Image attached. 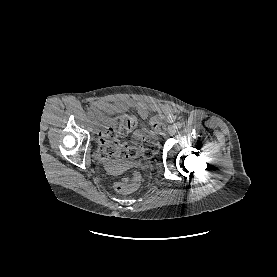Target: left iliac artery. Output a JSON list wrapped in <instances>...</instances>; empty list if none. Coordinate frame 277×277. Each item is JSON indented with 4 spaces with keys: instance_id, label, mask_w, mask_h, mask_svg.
Wrapping results in <instances>:
<instances>
[{
    "instance_id": "obj_1",
    "label": "left iliac artery",
    "mask_w": 277,
    "mask_h": 277,
    "mask_svg": "<svg viewBox=\"0 0 277 277\" xmlns=\"http://www.w3.org/2000/svg\"><path fill=\"white\" fill-rule=\"evenodd\" d=\"M175 126H176V128H181L182 127V123L181 122H176Z\"/></svg>"
}]
</instances>
